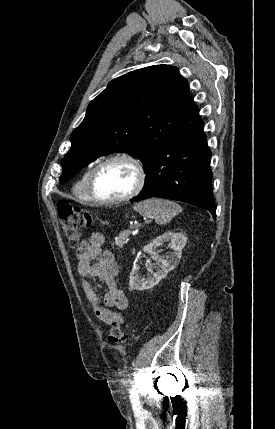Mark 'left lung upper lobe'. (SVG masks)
<instances>
[{
    "label": "left lung upper lobe",
    "instance_id": "1",
    "mask_svg": "<svg viewBox=\"0 0 275 429\" xmlns=\"http://www.w3.org/2000/svg\"><path fill=\"white\" fill-rule=\"evenodd\" d=\"M192 101L187 80L169 65L145 67L112 80L72 132L60 183L114 151L141 159L146 171Z\"/></svg>",
    "mask_w": 275,
    "mask_h": 429
}]
</instances>
